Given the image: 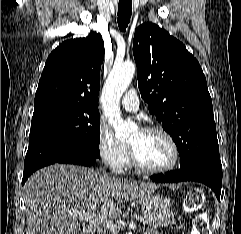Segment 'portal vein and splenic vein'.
<instances>
[{"mask_svg": "<svg viewBox=\"0 0 241 234\" xmlns=\"http://www.w3.org/2000/svg\"><path fill=\"white\" fill-rule=\"evenodd\" d=\"M80 217H84L85 219H88L91 222L97 223L99 225H103L106 228L115 231L117 229V226L110 221V219H108L107 217H105L104 215L101 214H97L95 216L89 215V216H80Z\"/></svg>", "mask_w": 241, "mask_h": 234, "instance_id": "obj_1", "label": "portal vein and splenic vein"}]
</instances>
